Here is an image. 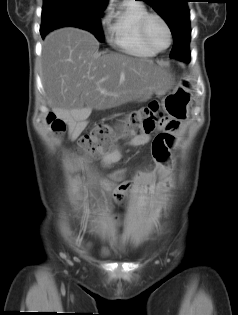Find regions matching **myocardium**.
<instances>
[{"instance_id":"f54148a6","label":"myocardium","mask_w":238,"mask_h":315,"mask_svg":"<svg viewBox=\"0 0 238 315\" xmlns=\"http://www.w3.org/2000/svg\"><path fill=\"white\" fill-rule=\"evenodd\" d=\"M153 19H157L159 20L163 26L165 27L166 31H167V35H168V43L164 48H158L156 47L149 39L148 37V25L150 23L151 20ZM140 34L141 37L143 39V41L145 42V44L147 46H149L151 49H153L156 52H162L165 51L166 49H168L172 43V31L171 28L168 24V22L165 20V18L163 16H161L160 14L157 13H148L141 21L140 23Z\"/></svg>"}]
</instances>
